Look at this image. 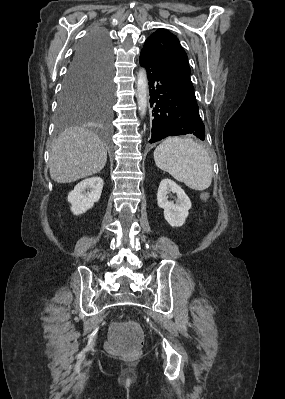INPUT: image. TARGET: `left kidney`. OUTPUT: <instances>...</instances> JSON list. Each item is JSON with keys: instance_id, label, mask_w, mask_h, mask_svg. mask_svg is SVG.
Segmentation results:
<instances>
[{"instance_id": "5707ae66", "label": "left kidney", "mask_w": 285, "mask_h": 399, "mask_svg": "<svg viewBox=\"0 0 285 399\" xmlns=\"http://www.w3.org/2000/svg\"><path fill=\"white\" fill-rule=\"evenodd\" d=\"M177 195V202L168 200V193ZM157 204L164 209V217L172 227H180L185 223L188 217V211L191 208V201L184 190L170 179H163L160 182L157 192Z\"/></svg>"}]
</instances>
